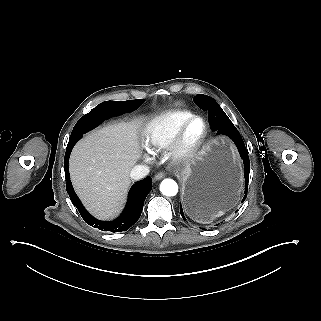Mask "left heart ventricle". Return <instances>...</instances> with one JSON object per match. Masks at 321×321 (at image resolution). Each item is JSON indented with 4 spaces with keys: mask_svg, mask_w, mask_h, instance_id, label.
I'll return each instance as SVG.
<instances>
[{
    "mask_svg": "<svg viewBox=\"0 0 321 321\" xmlns=\"http://www.w3.org/2000/svg\"><path fill=\"white\" fill-rule=\"evenodd\" d=\"M202 124L200 121H194L185 131L184 139L187 143H193L201 134Z\"/></svg>",
    "mask_w": 321,
    "mask_h": 321,
    "instance_id": "b2bd125f",
    "label": "left heart ventricle"
}]
</instances>
